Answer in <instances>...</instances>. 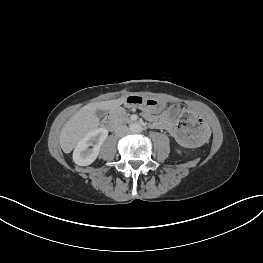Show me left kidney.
<instances>
[{"instance_id": "obj_1", "label": "left kidney", "mask_w": 263, "mask_h": 263, "mask_svg": "<svg viewBox=\"0 0 263 263\" xmlns=\"http://www.w3.org/2000/svg\"><path fill=\"white\" fill-rule=\"evenodd\" d=\"M176 151H177L178 154H181V150L177 149Z\"/></svg>"}]
</instances>
